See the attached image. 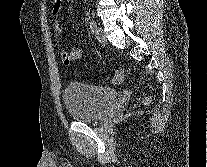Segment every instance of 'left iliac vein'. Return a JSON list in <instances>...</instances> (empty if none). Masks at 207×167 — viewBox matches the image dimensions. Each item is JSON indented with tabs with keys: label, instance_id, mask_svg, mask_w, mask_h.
I'll return each mask as SVG.
<instances>
[{
	"label": "left iliac vein",
	"instance_id": "1",
	"mask_svg": "<svg viewBox=\"0 0 207 167\" xmlns=\"http://www.w3.org/2000/svg\"><path fill=\"white\" fill-rule=\"evenodd\" d=\"M95 35L99 43L106 44L107 40L105 37V34L103 32V29L101 27H96Z\"/></svg>",
	"mask_w": 207,
	"mask_h": 167
}]
</instances>
